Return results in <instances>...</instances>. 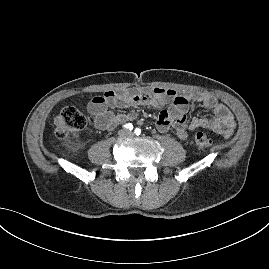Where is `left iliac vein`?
<instances>
[{"mask_svg":"<svg viewBox=\"0 0 269 269\" xmlns=\"http://www.w3.org/2000/svg\"><path fill=\"white\" fill-rule=\"evenodd\" d=\"M127 134H128L129 136H131V135H132V133H131V132H128Z\"/></svg>","mask_w":269,"mask_h":269,"instance_id":"4c4485c4","label":"left iliac vein"}]
</instances>
